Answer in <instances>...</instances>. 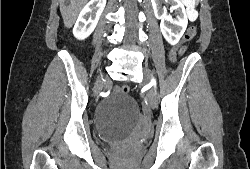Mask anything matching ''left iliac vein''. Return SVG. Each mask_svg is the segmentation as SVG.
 <instances>
[{"label": "left iliac vein", "instance_id": "1", "mask_svg": "<svg viewBox=\"0 0 250 169\" xmlns=\"http://www.w3.org/2000/svg\"><path fill=\"white\" fill-rule=\"evenodd\" d=\"M143 74H144L143 83H147L151 81L154 77L152 71L148 67H145L143 69ZM147 103H148V106L152 108L156 106L157 91L155 87H153L152 90L147 93Z\"/></svg>", "mask_w": 250, "mask_h": 169}]
</instances>
